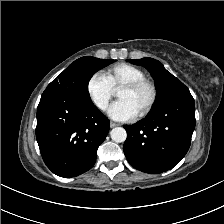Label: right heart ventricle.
Segmentation results:
<instances>
[{
    "label": "right heart ventricle",
    "mask_w": 224,
    "mask_h": 224,
    "mask_svg": "<svg viewBox=\"0 0 224 224\" xmlns=\"http://www.w3.org/2000/svg\"><path fill=\"white\" fill-rule=\"evenodd\" d=\"M105 77L112 89L117 90L128 82L145 79L146 76L138 67L127 63H120L108 68L105 72Z\"/></svg>",
    "instance_id": "e07e8e85"
}]
</instances>
